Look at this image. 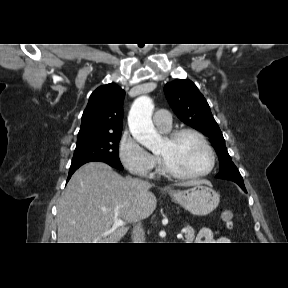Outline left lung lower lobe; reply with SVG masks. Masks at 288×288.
Segmentation results:
<instances>
[{
  "instance_id": "left-lung-lower-lobe-1",
  "label": "left lung lower lobe",
  "mask_w": 288,
  "mask_h": 288,
  "mask_svg": "<svg viewBox=\"0 0 288 288\" xmlns=\"http://www.w3.org/2000/svg\"><path fill=\"white\" fill-rule=\"evenodd\" d=\"M239 186H240L245 192H247L244 185H239Z\"/></svg>"
}]
</instances>
